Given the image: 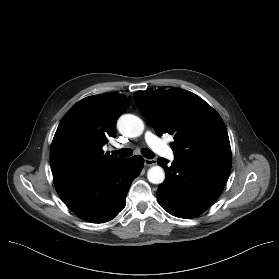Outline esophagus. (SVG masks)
Listing matches in <instances>:
<instances>
[{
  "label": "esophagus",
  "instance_id": "esophagus-1",
  "mask_svg": "<svg viewBox=\"0 0 279 279\" xmlns=\"http://www.w3.org/2000/svg\"><path fill=\"white\" fill-rule=\"evenodd\" d=\"M156 163H157L156 159H144L145 166H153L156 165Z\"/></svg>",
  "mask_w": 279,
  "mask_h": 279
}]
</instances>
